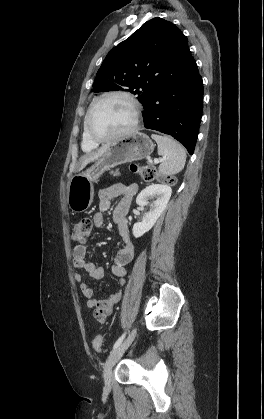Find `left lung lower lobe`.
Listing matches in <instances>:
<instances>
[{
  "label": "left lung lower lobe",
  "mask_w": 264,
  "mask_h": 419,
  "mask_svg": "<svg viewBox=\"0 0 264 419\" xmlns=\"http://www.w3.org/2000/svg\"><path fill=\"white\" fill-rule=\"evenodd\" d=\"M144 126L173 136L192 155L203 107V81L186 36L175 45L171 74L158 80L143 105Z\"/></svg>",
  "instance_id": "obj_1"
}]
</instances>
